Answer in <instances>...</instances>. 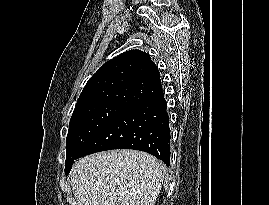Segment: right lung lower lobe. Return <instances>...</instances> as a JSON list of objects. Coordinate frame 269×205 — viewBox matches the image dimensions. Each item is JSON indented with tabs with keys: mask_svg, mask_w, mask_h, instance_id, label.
Segmentation results:
<instances>
[{
	"mask_svg": "<svg viewBox=\"0 0 269 205\" xmlns=\"http://www.w3.org/2000/svg\"><path fill=\"white\" fill-rule=\"evenodd\" d=\"M163 92L128 106L104 125L80 150L77 159L111 149L150 153L170 165V129Z\"/></svg>",
	"mask_w": 269,
	"mask_h": 205,
	"instance_id": "98d812e1",
	"label": "right lung lower lobe"
}]
</instances>
